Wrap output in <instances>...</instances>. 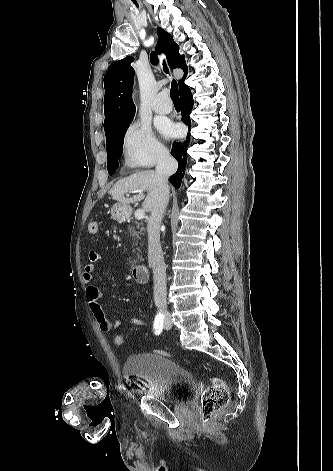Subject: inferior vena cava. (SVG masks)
<instances>
[{"mask_svg": "<svg viewBox=\"0 0 333 471\" xmlns=\"http://www.w3.org/2000/svg\"><path fill=\"white\" fill-rule=\"evenodd\" d=\"M177 167V161L167 151L160 153L156 166L159 196L153 205L147 226L148 258L154 275V302L164 312L167 311L166 266L160 244V224L169 201L168 178L176 172Z\"/></svg>", "mask_w": 333, "mask_h": 471, "instance_id": "obj_1", "label": "inferior vena cava"}]
</instances>
